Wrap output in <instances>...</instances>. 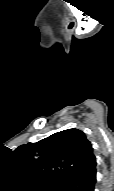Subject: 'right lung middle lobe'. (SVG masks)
<instances>
[{"instance_id":"1","label":"right lung middle lobe","mask_w":114,"mask_h":191,"mask_svg":"<svg viewBox=\"0 0 114 191\" xmlns=\"http://www.w3.org/2000/svg\"><path fill=\"white\" fill-rule=\"evenodd\" d=\"M50 190H54V191H56L57 189H50Z\"/></svg>"}]
</instances>
